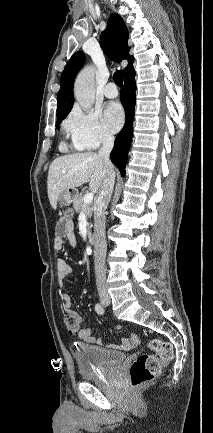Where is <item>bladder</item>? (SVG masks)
I'll return each mask as SVG.
<instances>
[{"mask_svg":"<svg viewBox=\"0 0 213 433\" xmlns=\"http://www.w3.org/2000/svg\"><path fill=\"white\" fill-rule=\"evenodd\" d=\"M74 357L79 374L84 379H99L114 372L125 360L124 353L80 343Z\"/></svg>","mask_w":213,"mask_h":433,"instance_id":"bladder-1","label":"bladder"}]
</instances>
